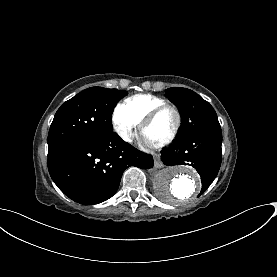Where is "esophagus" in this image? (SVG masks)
<instances>
[{
    "instance_id": "esophagus-1",
    "label": "esophagus",
    "mask_w": 277,
    "mask_h": 277,
    "mask_svg": "<svg viewBox=\"0 0 277 277\" xmlns=\"http://www.w3.org/2000/svg\"><path fill=\"white\" fill-rule=\"evenodd\" d=\"M154 166L156 168H162L164 165H163L162 161L157 157V158H155Z\"/></svg>"
}]
</instances>
